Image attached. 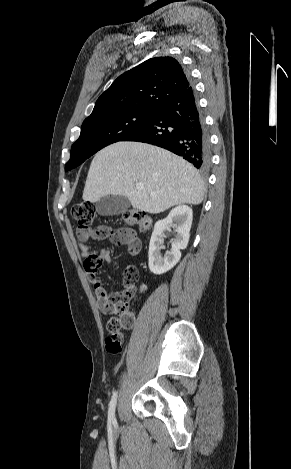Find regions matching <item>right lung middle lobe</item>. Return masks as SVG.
<instances>
[{
  "mask_svg": "<svg viewBox=\"0 0 291 469\" xmlns=\"http://www.w3.org/2000/svg\"><path fill=\"white\" fill-rule=\"evenodd\" d=\"M153 111L132 109L103 118L85 120L80 137L71 148V158L65 170L77 167L105 146L122 141L146 123Z\"/></svg>",
  "mask_w": 291,
  "mask_h": 469,
  "instance_id": "1",
  "label": "right lung middle lobe"
}]
</instances>
